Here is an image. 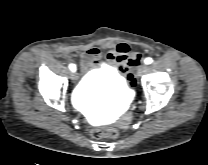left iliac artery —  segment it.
Listing matches in <instances>:
<instances>
[{
  "mask_svg": "<svg viewBox=\"0 0 208 165\" xmlns=\"http://www.w3.org/2000/svg\"><path fill=\"white\" fill-rule=\"evenodd\" d=\"M152 62H153V60L150 57L146 58L144 61L145 64H151Z\"/></svg>",
  "mask_w": 208,
  "mask_h": 165,
  "instance_id": "left-iliac-artery-1",
  "label": "left iliac artery"
}]
</instances>
